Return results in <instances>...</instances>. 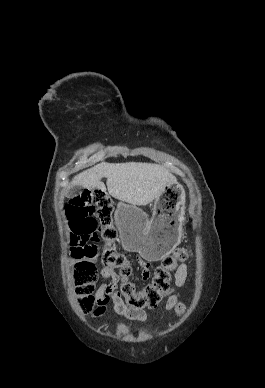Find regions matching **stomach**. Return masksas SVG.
Returning a JSON list of instances; mask_svg holds the SVG:
<instances>
[{
  "instance_id": "stomach-1",
  "label": "stomach",
  "mask_w": 265,
  "mask_h": 388,
  "mask_svg": "<svg viewBox=\"0 0 265 388\" xmlns=\"http://www.w3.org/2000/svg\"><path fill=\"white\" fill-rule=\"evenodd\" d=\"M184 215L185 191L175 183L155 199L151 219L138 207L120 202L115 221L125 250L138 252L148 261H158L179 243Z\"/></svg>"
}]
</instances>
